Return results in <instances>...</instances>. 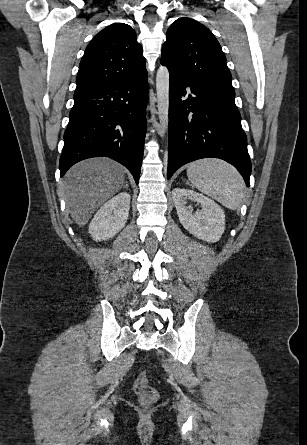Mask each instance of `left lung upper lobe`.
I'll use <instances>...</instances> for the list:
<instances>
[{
	"mask_svg": "<svg viewBox=\"0 0 307 445\" xmlns=\"http://www.w3.org/2000/svg\"><path fill=\"white\" fill-rule=\"evenodd\" d=\"M161 63L194 86L215 95L235 98L226 57L211 31L191 18H179L168 28Z\"/></svg>",
	"mask_w": 307,
	"mask_h": 445,
	"instance_id": "1",
	"label": "left lung upper lobe"
}]
</instances>
